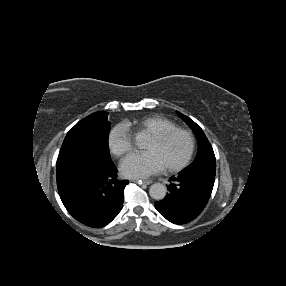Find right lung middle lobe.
<instances>
[{
  "label": "right lung middle lobe",
  "mask_w": 286,
  "mask_h": 286,
  "mask_svg": "<svg viewBox=\"0 0 286 286\" xmlns=\"http://www.w3.org/2000/svg\"><path fill=\"white\" fill-rule=\"evenodd\" d=\"M107 117V112H96L72 127L60 149L57 165L81 157L111 160L108 146L110 124Z\"/></svg>",
  "instance_id": "1"
}]
</instances>
